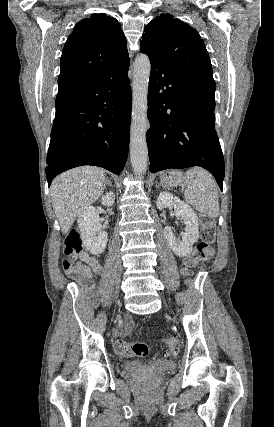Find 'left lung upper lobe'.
Wrapping results in <instances>:
<instances>
[{"label":"left lung upper lobe","mask_w":274,"mask_h":427,"mask_svg":"<svg viewBox=\"0 0 274 427\" xmlns=\"http://www.w3.org/2000/svg\"><path fill=\"white\" fill-rule=\"evenodd\" d=\"M140 50L185 76L215 84L212 65L199 33L188 24L161 14L144 29Z\"/></svg>","instance_id":"left-lung-upper-lobe-1"}]
</instances>
